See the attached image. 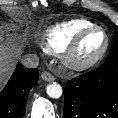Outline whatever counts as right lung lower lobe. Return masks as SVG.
I'll return each instance as SVG.
<instances>
[{
	"label": "right lung lower lobe",
	"mask_w": 118,
	"mask_h": 118,
	"mask_svg": "<svg viewBox=\"0 0 118 118\" xmlns=\"http://www.w3.org/2000/svg\"><path fill=\"white\" fill-rule=\"evenodd\" d=\"M37 82V69L25 68L15 71L0 94V118H22L28 93Z\"/></svg>",
	"instance_id": "1"
}]
</instances>
